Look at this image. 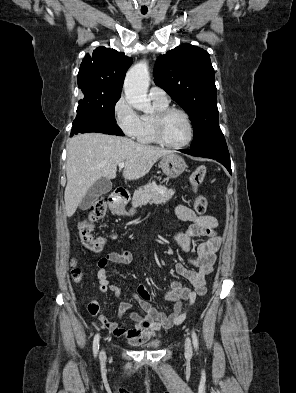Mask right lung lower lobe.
I'll use <instances>...</instances> for the list:
<instances>
[{
  "mask_svg": "<svg viewBox=\"0 0 296 393\" xmlns=\"http://www.w3.org/2000/svg\"><path fill=\"white\" fill-rule=\"evenodd\" d=\"M98 132L109 135L123 136L122 130L117 124H113L94 116H76L73 122L70 136L78 133Z\"/></svg>",
  "mask_w": 296,
  "mask_h": 393,
  "instance_id": "98d812e1",
  "label": "right lung lower lobe"
}]
</instances>
